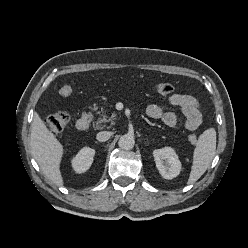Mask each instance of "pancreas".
I'll return each instance as SVG.
<instances>
[{
    "label": "pancreas",
    "instance_id": "cf45deb5",
    "mask_svg": "<svg viewBox=\"0 0 248 248\" xmlns=\"http://www.w3.org/2000/svg\"><path fill=\"white\" fill-rule=\"evenodd\" d=\"M115 117H116V114H112L111 117H109V118L107 115H102V118H100L98 120V122L96 123V129L103 128L102 124H104L106 122H109V121L113 122L115 120Z\"/></svg>",
    "mask_w": 248,
    "mask_h": 248
}]
</instances>
